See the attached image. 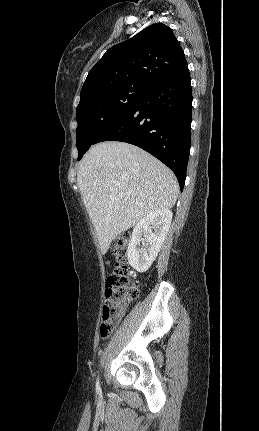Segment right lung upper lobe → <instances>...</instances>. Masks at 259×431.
<instances>
[{
    "mask_svg": "<svg viewBox=\"0 0 259 431\" xmlns=\"http://www.w3.org/2000/svg\"><path fill=\"white\" fill-rule=\"evenodd\" d=\"M187 67L184 52L172 29L155 23L107 50L89 72L80 102L94 94L125 86L148 90Z\"/></svg>",
    "mask_w": 259,
    "mask_h": 431,
    "instance_id": "right-lung-upper-lobe-1",
    "label": "right lung upper lobe"
}]
</instances>
